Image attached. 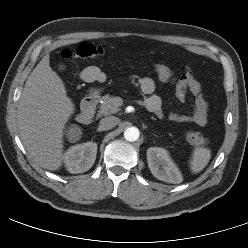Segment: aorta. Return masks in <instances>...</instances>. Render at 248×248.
<instances>
[{
    "instance_id": "aorta-1",
    "label": "aorta",
    "mask_w": 248,
    "mask_h": 248,
    "mask_svg": "<svg viewBox=\"0 0 248 248\" xmlns=\"http://www.w3.org/2000/svg\"><path fill=\"white\" fill-rule=\"evenodd\" d=\"M140 132L136 127H129L124 131V138L127 141L134 142L139 139Z\"/></svg>"
}]
</instances>
